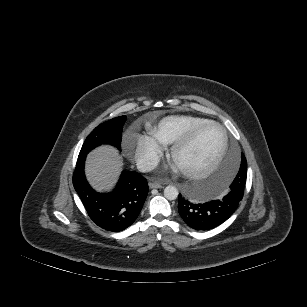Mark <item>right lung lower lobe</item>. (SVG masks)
I'll return each instance as SVG.
<instances>
[{
	"mask_svg": "<svg viewBox=\"0 0 307 307\" xmlns=\"http://www.w3.org/2000/svg\"><path fill=\"white\" fill-rule=\"evenodd\" d=\"M86 156L78 157L73 174V185L89 217L99 227L118 232L129 227L138 217L149 187L139 173L124 171L111 193L95 192L84 174Z\"/></svg>",
	"mask_w": 307,
	"mask_h": 307,
	"instance_id": "right-lung-lower-lobe-1",
	"label": "right lung lower lobe"
}]
</instances>
